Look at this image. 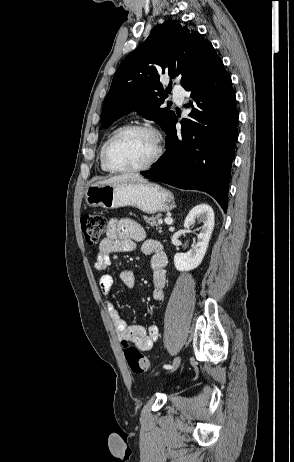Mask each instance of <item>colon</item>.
Here are the masks:
<instances>
[{
	"label": "colon",
	"instance_id": "obj_1",
	"mask_svg": "<svg viewBox=\"0 0 294 462\" xmlns=\"http://www.w3.org/2000/svg\"><path fill=\"white\" fill-rule=\"evenodd\" d=\"M82 231L88 244L95 245L106 229V219L100 215H86L81 219ZM125 346V358L130 369L137 374L144 373L150 368L149 360L127 341L122 342Z\"/></svg>",
	"mask_w": 294,
	"mask_h": 462
}]
</instances>
